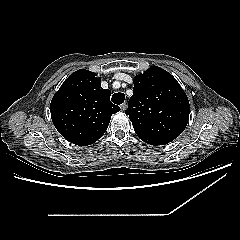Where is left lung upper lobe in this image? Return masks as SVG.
Returning <instances> with one entry per match:
<instances>
[{
    "label": "left lung upper lobe",
    "mask_w": 240,
    "mask_h": 240,
    "mask_svg": "<svg viewBox=\"0 0 240 240\" xmlns=\"http://www.w3.org/2000/svg\"><path fill=\"white\" fill-rule=\"evenodd\" d=\"M189 100L177 80L152 66L134 78L133 96L125 111L141 140H174L186 127Z\"/></svg>",
    "instance_id": "1"
}]
</instances>
